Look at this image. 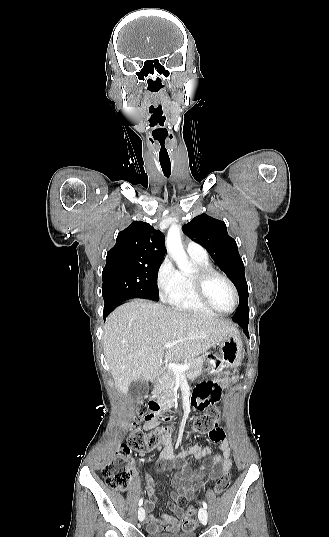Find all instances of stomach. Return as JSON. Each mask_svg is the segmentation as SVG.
Returning a JSON list of instances; mask_svg holds the SVG:
<instances>
[{
  "label": "stomach",
  "mask_w": 329,
  "mask_h": 537,
  "mask_svg": "<svg viewBox=\"0 0 329 537\" xmlns=\"http://www.w3.org/2000/svg\"><path fill=\"white\" fill-rule=\"evenodd\" d=\"M219 347H220L219 358L222 364L232 369L238 367L241 361L242 351H243V343L239 335V332L236 331L234 333L226 335L219 342ZM214 360H215L214 355L209 354L203 366L204 367L203 372H208V375L211 374V372H213V369L208 370V368L213 364ZM213 376L217 377L219 376V374H213Z\"/></svg>",
  "instance_id": "0dacf381"
}]
</instances>
